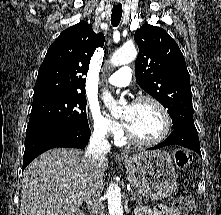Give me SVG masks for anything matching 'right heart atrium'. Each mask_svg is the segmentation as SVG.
<instances>
[{"label": "right heart atrium", "instance_id": "d8ad5b80", "mask_svg": "<svg viewBox=\"0 0 221 215\" xmlns=\"http://www.w3.org/2000/svg\"><path fill=\"white\" fill-rule=\"evenodd\" d=\"M89 115L95 134L101 137H112L120 134V124L105 115L97 106H89Z\"/></svg>", "mask_w": 221, "mask_h": 215}]
</instances>
